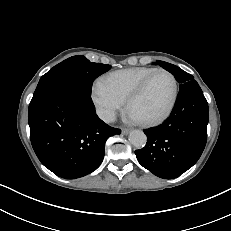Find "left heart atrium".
<instances>
[{"instance_id": "obj_1", "label": "left heart atrium", "mask_w": 231, "mask_h": 231, "mask_svg": "<svg viewBox=\"0 0 231 231\" xmlns=\"http://www.w3.org/2000/svg\"><path fill=\"white\" fill-rule=\"evenodd\" d=\"M126 118L131 123H137V122H139V120L135 116H133L131 113H129V112L126 115Z\"/></svg>"}]
</instances>
